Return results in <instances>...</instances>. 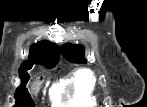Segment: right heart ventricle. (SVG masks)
Wrapping results in <instances>:
<instances>
[{
	"label": "right heart ventricle",
	"instance_id": "e07e8e85",
	"mask_svg": "<svg viewBox=\"0 0 147 107\" xmlns=\"http://www.w3.org/2000/svg\"><path fill=\"white\" fill-rule=\"evenodd\" d=\"M53 101L68 107H93L98 103L97 79L90 69L74 71L52 89Z\"/></svg>",
	"mask_w": 147,
	"mask_h": 107
}]
</instances>
